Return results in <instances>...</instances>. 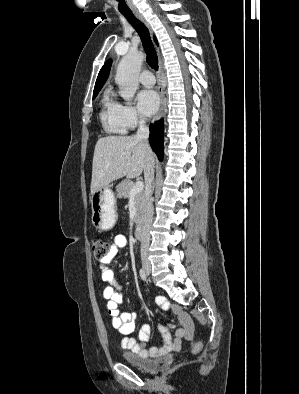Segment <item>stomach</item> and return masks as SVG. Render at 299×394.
Instances as JSON below:
<instances>
[{
    "label": "stomach",
    "instance_id": "obj_1",
    "mask_svg": "<svg viewBox=\"0 0 299 394\" xmlns=\"http://www.w3.org/2000/svg\"><path fill=\"white\" fill-rule=\"evenodd\" d=\"M116 198L109 187H105L91 195L92 223L95 228L109 230L117 220L115 209Z\"/></svg>",
    "mask_w": 299,
    "mask_h": 394
}]
</instances>
